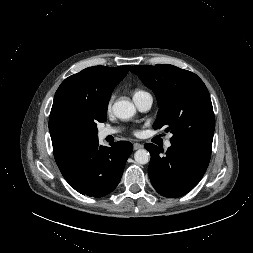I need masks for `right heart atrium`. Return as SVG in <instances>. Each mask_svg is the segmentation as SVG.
Here are the masks:
<instances>
[{
	"label": "right heart atrium",
	"instance_id": "1",
	"mask_svg": "<svg viewBox=\"0 0 253 253\" xmlns=\"http://www.w3.org/2000/svg\"><path fill=\"white\" fill-rule=\"evenodd\" d=\"M113 99H114V96H111L110 99H109V101H108V104H107L108 110H110L111 107H112Z\"/></svg>",
	"mask_w": 253,
	"mask_h": 253
}]
</instances>
